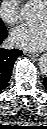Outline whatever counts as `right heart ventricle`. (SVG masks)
Instances as JSON below:
<instances>
[{"instance_id": "e07e8e85", "label": "right heart ventricle", "mask_w": 47, "mask_h": 129, "mask_svg": "<svg viewBox=\"0 0 47 129\" xmlns=\"http://www.w3.org/2000/svg\"><path fill=\"white\" fill-rule=\"evenodd\" d=\"M27 1L31 3H43L45 0H27Z\"/></svg>"}]
</instances>
